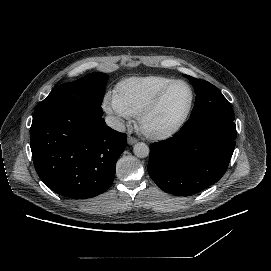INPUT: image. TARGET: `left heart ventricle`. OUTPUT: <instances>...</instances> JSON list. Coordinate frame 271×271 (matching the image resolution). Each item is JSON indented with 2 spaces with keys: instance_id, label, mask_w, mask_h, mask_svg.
Wrapping results in <instances>:
<instances>
[{
  "instance_id": "1",
  "label": "left heart ventricle",
  "mask_w": 271,
  "mask_h": 271,
  "mask_svg": "<svg viewBox=\"0 0 271 271\" xmlns=\"http://www.w3.org/2000/svg\"><path fill=\"white\" fill-rule=\"evenodd\" d=\"M191 101V89L185 83L174 85L159 108L146 120L145 128L158 131L173 126L186 112Z\"/></svg>"
}]
</instances>
